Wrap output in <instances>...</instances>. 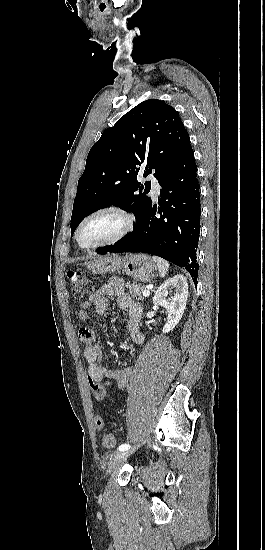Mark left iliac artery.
Listing matches in <instances>:
<instances>
[{
    "mask_svg": "<svg viewBox=\"0 0 265 550\" xmlns=\"http://www.w3.org/2000/svg\"><path fill=\"white\" fill-rule=\"evenodd\" d=\"M130 449V445L129 444H122L118 447V450L119 451H125V450H128Z\"/></svg>",
    "mask_w": 265,
    "mask_h": 550,
    "instance_id": "left-iliac-artery-1",
    "label": "left iliac artery"
}]
</instances>
